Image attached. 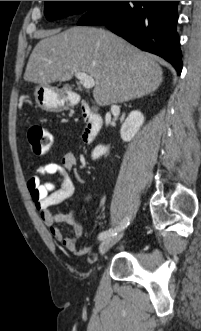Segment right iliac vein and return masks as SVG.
<instances>
[{
	"instance_id": "1",
	"label": "right iliac vein",
	"mask_w": 201,
	"mask_h": 331,
	"mask_svg": "<svg viewBox=\"0 0 201 331\" xmlns=\"http://www.w3.org/2000/svg\"><path fill=\"white\" fill-rule=\"evenodd\" d=\"M122 236L123 234L120 233L104 239L99 246L100 254L104 255L113 245H115L122 238Z\"/></svg>"
}]
</instances>
